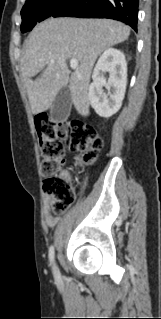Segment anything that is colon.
Segmentation results:
<instances>
[{"mask_svg": "<svg viewBox=\"0 0 161 319\" xmlns=\"http://www.w3.org/2000/svg\"><path fill=\"white\" fill-rule=\"evenodd\" d=\"M43 187L52 196L54 215L67 212L74 202V190L62 172L66 149L78 153V160L91 162L102 147L96 131L81 122L62 123L38 118L35 122Z\"/></svg>", "mask_w": 161, "mask_h": 319, "instance_id": "obj_1", "label": "colon"}]
</instances>
